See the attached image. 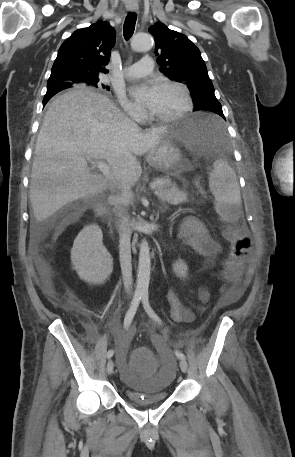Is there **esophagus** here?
I'll return each instance as SVG.
<instances>
[{"mask_svg": "<svg viewBox=\"0 0 295 457\" xmlns=\"http://www.w3.org/2000/svg\"><path fill=\"white\" fill-rule=\"evenodd\" d=\"M128 9H129L130 12H134L135 13V12L138 11V6L137 5H130Z\"/></svg>", "mask_w": 295, "mask_h": 457, "instance_id": "obj_1", "label": "esophagus"}]
</instances>
